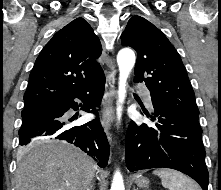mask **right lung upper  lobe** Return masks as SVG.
<instances>
[{
  "label": "right lung upper lobe",
  "mask_w": 221,
  "mask_h": 190,
  "mask_svg": "<svg viewBox=\"0 0 221 190\" xmlns=\"http://www.w3.org/2000/svg\"><path fill=\"white\" fill-rule=\"evenodd\" d=\"M101 43L91 26L77 18L45 45L29 76L24 109L48 106L104 75L96 59Z\"/></svg>",
  "instance_id": "right-lung-upper-lobe-1"
}]
</instances>
